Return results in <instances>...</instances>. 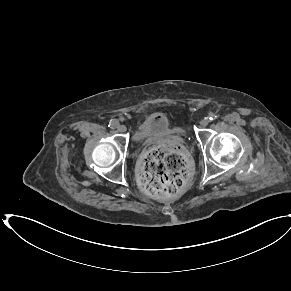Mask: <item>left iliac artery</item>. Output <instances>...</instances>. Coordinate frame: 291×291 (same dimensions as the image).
Instances as JSON below:
<instances>
[{
  "instance_id": "44dca946",
  "label": "left iliac artery",
  "mask_w": 291,
  "mask_h": 291,
  "mask_svg": "<svg viewBox=\"0 0 291 291\" xmlns=\"http://www.w3.org/2000/svg\"><path fill=\"white\" fill-rule=\"evenodd\" d=\"M216 118H217V115H215V114H213V113H211V114L207 117V119H208L209 122L215 120Z\"/></svg>"
}]
</instances>
